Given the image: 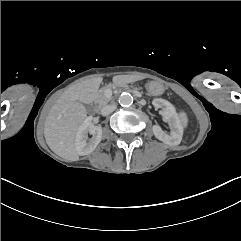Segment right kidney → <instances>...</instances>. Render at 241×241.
Returning a JSON list of instances; mask_svg holds the SVG:
<instances>
[{
    "label": "right kidney",
    "instance_id": "ca27d5eb",
    "mask_svg": "<svg viewBox=\"0 0 241 241\" xmlns=\"http://www.w3.org/2000/svg\"><path fill=\"white\" fill-rule=\"evenodd\" d=\"M92 135L88 139V135ZM102 140V128L93 123L92 117L87 118L76 133V150L79 155H88L95 150Z\"/></svg>",
    "mask_w": 241,
    "mask_h": 241
}]
</instances>
